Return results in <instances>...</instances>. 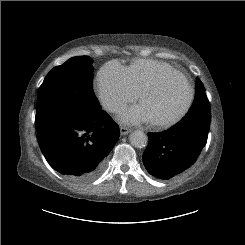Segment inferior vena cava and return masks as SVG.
I'll return each instance as SVG.
<instances>
[{"label": "inferior vena cava", "mask_w": 245, "mask_h": 245, "mask_svg": "<svg viewBox=\"0 0 245 245\" xmlns=\"http://www.w3.org/2000/svg\"><path fill=\"white\" fill-rule=\"evenodd\" d=\"M109 109L112 111V112H119L123 109V105L121 104H111Z\"/></svg>", "instance_id": "602c4592"}]
</instances>
